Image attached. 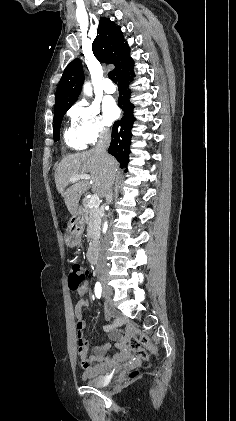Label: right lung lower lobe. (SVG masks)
I'll list each match as a JSON object with an SVG mask.
<instances>
[{
    "instance_id": "right-lung-lower-lobe-1",
    "label": "right lung lower lobe",
    "mask_w": 236,
    "mask_h": 421,
    "mask_svg": "<svg viewBox=\"0 0 236 421\" xmlns=\"http://www.w3.org/2000/svg\"><path fill=\"white\" fill-rule=\"evenodd\" d=\"M132 69L133 60L116 73L119 88L118 105L124 111V115L120 121H116L113 125L112 140L108 152L120 162L121 168H127L132 137L131 129L136 120L133 115L134 105L129 102L131 92L127 89L129 81L132 80L131 77L134 76L133 73L129 74Z\"/></svg>"
}]
</instances>
